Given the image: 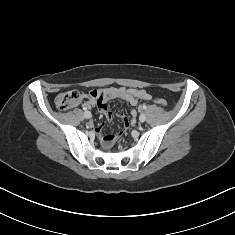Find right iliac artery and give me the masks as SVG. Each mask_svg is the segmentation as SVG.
<instances>
[{"label":"right iliac artery","instance_id":"obj_1","mask_svg":"<svg viewBox=\"0 0 235 235\" xmlns=\"http://www.w3.org/2000/svg\"><path fill=\"white\" fill-rule=\"evenodd\" d=\"M83 110L85 111V113H86V112H89V111H87V108H86V107H83Z\"/></svg>","mask_w":235,"mask_h":235}]
</instances>
